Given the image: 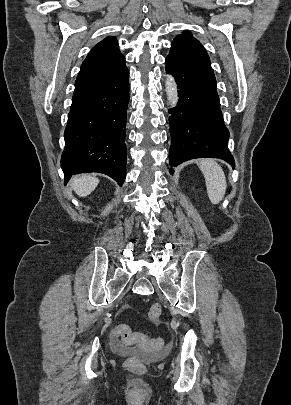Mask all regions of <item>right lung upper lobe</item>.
<instances>
[{
    "instance_id": "right-lung-upper-lobe-1",
    "label": "right lung upper lobe",
    "mask_w": 291,
    "mask_h": 405,
    "mask_svg": "<svg viewBox=\"0 0 291 405\" xmlns=\"http://www.w3.org/2000/svg\"><path fill=\"white\" fill-rule=\"evenodd\" d=\"M127 70L117 39L107 37L96 44L81 65L74 93L119 77Z\"/></svg>"
}]
</instances>
